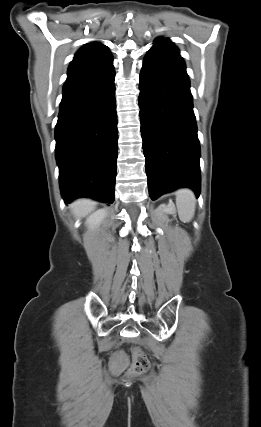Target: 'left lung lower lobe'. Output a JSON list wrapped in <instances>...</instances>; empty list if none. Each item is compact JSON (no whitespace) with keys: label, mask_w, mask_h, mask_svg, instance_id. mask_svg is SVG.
<instances>
[{"label":"left lung lower lobe","mask_w":261,"mask_h":427,"mask_svg":"<svg viewBox=\"0 0 261 427\" xmlns=\"http://www.w3.org/2000/svg\"><path fill=\"white\" fill-rule=\"evenodd\" d=\"M140 122L152 200L180 187L200 194V144L190 81L180 56L158 48L140 73Z\"/></svg>","instance_id":"obj_1"}]
</instances>
